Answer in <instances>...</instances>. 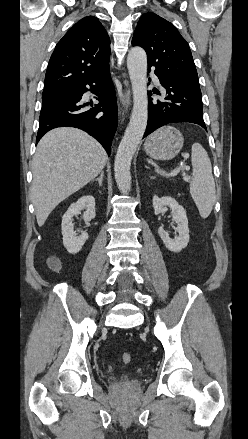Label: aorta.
Returning a JSON list of instances; mask_svg holds the SVG:
<instances>
[{"label":"aorta","mask_w":248,"mask_h":439,"mask_svg":"<svg viewBox=\"0 0 248 439\" xmlns=\"http://www.w3.org/2000/svg\"><path fill=\"white\" fill-rule=\"evenodd\" d=\"M127 68L132 85L133 109L114 162L115 180L124 194L131 188V161L144 135L148 119L147 56L141 47H133L129 51Z\"/></svg>","instance_id":"obj_1"}]
</instances>
